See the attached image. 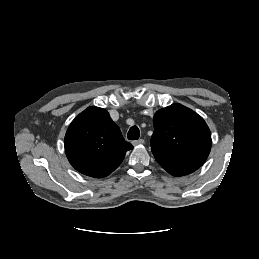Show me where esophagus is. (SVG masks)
Instances as JSON below:
<instances>
[{"instance_id":"1","label":"esophagus","mask_w":259,"mask_h":259,"mask_svg":"<svg viewBox=\"0 0 259 259\" xmlns=\"http://www.w3.org/2000/svg\"><path fill=\"white\" fill-rule=\"evenodd\" d=\"M144 142H145L144 139H138L133 142V145L134 146L142 145L144 144Z\"/></svg>"}]
</instances>
